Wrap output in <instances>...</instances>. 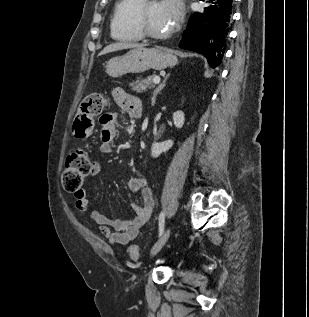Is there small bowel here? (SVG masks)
<instances>
[{
    "label": "small bowel",
    "instance_id": "1",
    "mask_svg": "<svg viewBox=\"0 0 309 317\" xmlns=\"http://www.w3.org/2000/svg\"><path fill=\"white\" fill-rule=\"evenodd\" d=\"M115 102L125 108L130 116L139 118L142 114V105L138 98L128 94L121 88L113 90ZM118 122L117 113H107L100 117L101 123V144L99 154H108L114 150L116 137V126ZM100 171L98 160L92 164V174ZM129 188L140 194L141 202L132 203L131 208L135 215L131 219H111L98 210H93L90 217L99 225L100 233L113 245H127L133 241L139 229L150 219L154 197L152 190L147 187L145 181L140 177H133L129 180ZM75 206L81 213L85 212L93 203V196L85 189L74 194Z\"/></svg>",
    "mask_w": 309,
    "mask_h": 317
}]
</instances>
